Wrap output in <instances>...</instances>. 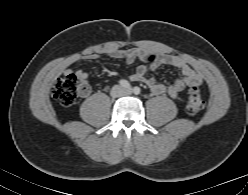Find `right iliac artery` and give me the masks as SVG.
<instances>
[{"label":"right iliac artery","mask_w":248,"mask_h":195,"mask_svg":"<svg viewBox=\"0 0 248 195\" xmlns=\"http://www.w3.org/2000/svg\"><path fill=\"white\" fill-rule=\"evenodd\" d=\"M119 84L124 88H131V85L127 80L122 79L119 81Z\"/></svg>","instance_id":"1"}]
</instances>
